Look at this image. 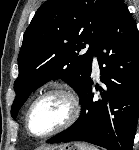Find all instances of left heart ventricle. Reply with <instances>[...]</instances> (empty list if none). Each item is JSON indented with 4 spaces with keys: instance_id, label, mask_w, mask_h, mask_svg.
<instances>
[{
    "instance_id": "left-heart-ventricle-1",
    "label": "left heart ventricle",
    "mask_w": 139,
    "mask_h": 150,
    "mask_svg": "<svg viewBox=\"0 0 139 150\" xmlns=\"http://www.w3.org/2000/svg\"><path fill=\"white\" fill-rule=\"evenodd\" d=\"M70 114V106L62 95H49L42 98L34 107L30 127L34 134H45L61 125Z\"/></svg>"
}]
</instances>
